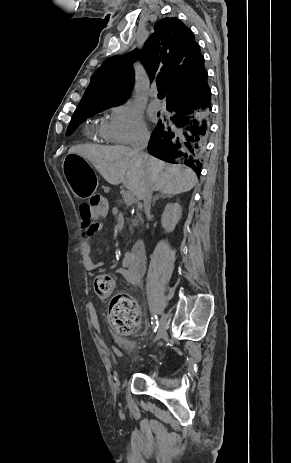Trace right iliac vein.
Wrapping results in <instances>:
<instances>
[{"mask_svg":"<svg viewBox=\"0 0 291 463\" xmlns=\"http://www.w3.org/2000/svg\"><path fill=\"white\" fill-rule=\"evenodd\" d=\"M166 323H167V317L163 313L160 318V324L158 328V332L155 338V342H158L161 338H163L166 334Z\"/></svg>","mask_w":291,"mask_h":463,"instance_id":"right-iliac-vein-1","label":"right iliac vein"}]
</instances>
